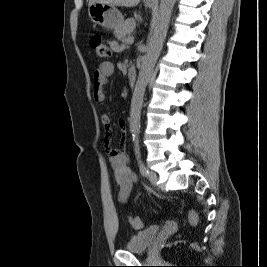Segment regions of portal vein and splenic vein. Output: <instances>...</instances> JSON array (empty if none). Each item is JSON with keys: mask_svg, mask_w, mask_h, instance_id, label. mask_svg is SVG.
Masks as SVG:
<instances>
[{"mask_svg": "<svg viewBox=\"0 0 267 267\" xmlns=\"http://www.w3.org/2000/svg\"><path fill=\"white\" fill-rule=\"evenodd\" d=\"M126 42L128 44H132L134 42V37L133 36L132 37H128L127 40H126Z\"/></svg>", "mask_w": 267, "mask_h": 267, "instance_id": "portal-vein-and-splenic-vein-1", "label": "portal vein and splenic vein"}]
</instances>
